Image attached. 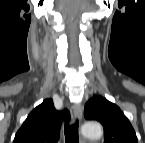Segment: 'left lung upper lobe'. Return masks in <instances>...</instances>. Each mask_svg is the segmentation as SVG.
Listing matches in <instances>:
<instances>
[{"label": "left lung upper lobe", "instance_id": "1", "mask_svg": "<svg viewBox=\"0 0 145 143\" xmlns=\"http://www.w3.org/2000/svg\"><path fill=\"white\" fill-rule=\"evenodd\" d=\"M84 116L97 120L104 127V143H138L136 133L118 106L101 96H94L85 105Z\"/></svg>", "mask_w": 145, "mask_h": 143}]
</instances>
